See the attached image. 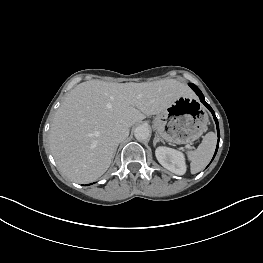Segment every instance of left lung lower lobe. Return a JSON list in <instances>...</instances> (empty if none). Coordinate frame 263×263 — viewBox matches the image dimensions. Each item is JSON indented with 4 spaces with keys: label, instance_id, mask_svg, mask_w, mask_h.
Wrapping results in <instances>:
<instances>
[{
    "label": "left lung lower lobe",
    "instance_id": "1",
    "mask_svg": "<svg viewBox=\"0 0 263 263\" xmlns=\"http://www.w3.org/2000/svg\"><path fill=\"white\" fill-rule=\"evenodd\" d=\"M189 86L196 92V94H197V95L199 96V98H200V101L211 111V113H212L213 116H214V120H215V123H216V125H217V133H218V144H217V148H216L215 154H214V156H213V158H214L215 155H216L218 146H219V138H220L218 120H217V118H216V116H215V113H214L213 109L210 107V105H209L208 103L205 102L204 96H203L202 92L200 91V89H199L196 85H194V84H192V83H190Z\"/></svg>",
    "mask_w": 263,
    "mask_h": 263
}]
</instances>
